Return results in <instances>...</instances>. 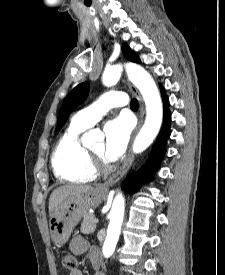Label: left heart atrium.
Segmentation results:
<instances>
[{
    "label": "left heart atrium",
    "instance_id": "left-heart-atrium-1",
    "mask_svg": "<svg viewBox=\"0 0 225 275\" xmlns=\"http://www.w3.org/2000/svg\"><path fill=\"white\" fill-rule=\"evenodd\" d=\"M103 131L105 135L103 157L108 162H114L126 149L131 123L126 117L120 116L106 122Z\"/></svg>",
    "mask_w": 225,
    "mask_h": 275
}]
</instances>
